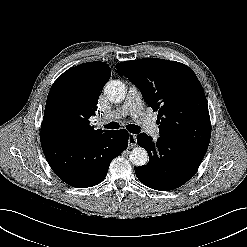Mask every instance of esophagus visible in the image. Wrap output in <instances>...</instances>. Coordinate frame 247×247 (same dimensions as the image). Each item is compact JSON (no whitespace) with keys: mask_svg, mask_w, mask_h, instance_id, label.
<instances>
[{"mask_svg":"<svg viewBox=\"0 0 247 247\" xmlns=\"http://www.w3.org/2000/svg\"><path fill=\"white\" fill-rule=\"evenodd\" d=\"M128 146L130 148H133L135 146H137V137L135 134L130 133L128 136Z\"/></svg>","mask_w":247,"mask_h":247,"instance_id":"esophagus-1","label":"esophagus"}]
</instances>
